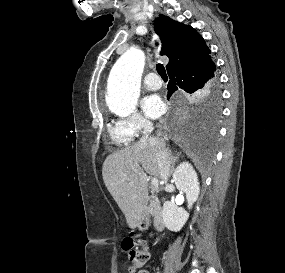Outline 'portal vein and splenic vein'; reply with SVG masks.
Here are the masks:
<instances>
[{
  "instance_id": "portal-vein-and-splenic-vein-1",
  "label": "portal vein and splenic vein",
  "mask_w": 285,
  "mask_h": 273,
  "mask_svg": "<svg viewBox=\"0 0 285 273\" xmlns=\"http://www.w3.org/2000/svg\"><path fill=\"white\" fill-rule=\"evenodd\" d=\"M159 186V180L156 177L151 178V187L152 189H157Z\"/></svg>"
}]
</instances>
